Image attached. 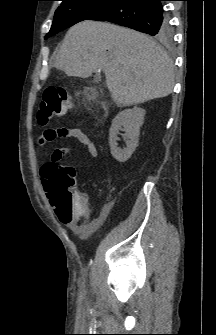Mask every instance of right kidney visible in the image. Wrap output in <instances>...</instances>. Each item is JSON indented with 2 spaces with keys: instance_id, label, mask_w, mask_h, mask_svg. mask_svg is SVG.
<instances>
[{
  "instance_id": "ca27d5eb",
  "label": "right kidney",
  "mask_w": 216,
  "mask_h": 335,
  "mask_svg": "<svg viewBox=\"0 0 216 335\" xmlns=\"http://www.w3.org/2000/svg\"><path fill=\"white\" fill-rule=\"evenodd\" d=\"M145 110L134 107L121 111L112 121L109 131V145L112 156L119 162L127 161L138 146L140 127L143 124ZM119 130L125 132L124 139L127 147L121 149L117 146Z\"/></svg>"
}]
</instances>
